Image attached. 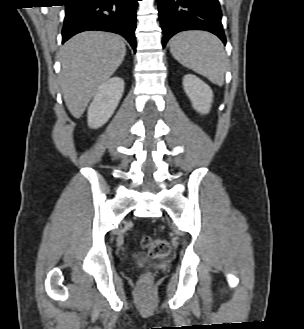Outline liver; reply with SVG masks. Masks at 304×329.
<instances>
[{
    "instance_id": "6515ba94",
    "label": "liver",
    "mask_w": 304,
    "mask_h": 329,
    "mask_svg": "<svg viewBox=\"0 0 304 329\" xmlns=\"http://www.w3.org/2000/svg\"><path fill=\"white\" fill-rule=\"evenodd\" d=\"M126 46L119 35L87 31L67 41L61 49L60 82L70 113L79 118L98 88L121 65Z\"/></svg>"
}]
</instances>
